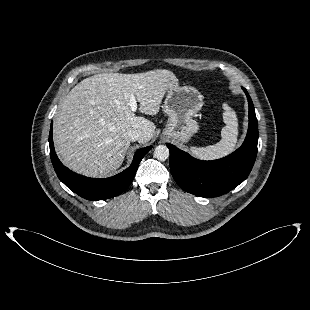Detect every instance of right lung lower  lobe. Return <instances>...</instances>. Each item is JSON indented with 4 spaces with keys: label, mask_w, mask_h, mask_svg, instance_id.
I'll return each mask as SVG.
<instances>
[{
    "label": "right lung lower lobe",
    "mask_w": 310,
    "mask_h": 310,
    "mask_svg": "<svg viewBox=\"0 0 310 310\" xmlns=\"http://www.w3.org/2000/svg\"><path fill=\"white\" fill-rule=\"evenodd\" d=\"M49 146L50 158L60 181L87 200H104L124 192L133 181L140 161L152 148V146H148L138 150L134 155L131 166L123 172L106 179H95L78 175L60 162L54 150L52 124L49 133Z\"/></svg>",
    "instance_id": "obj_1"
}]
</instances>
